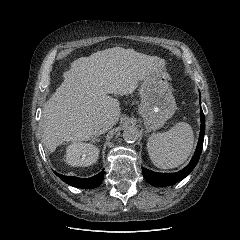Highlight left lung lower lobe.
<instances>
[{"label":"left lung lower lobe","mask_w":240,"mask_h":240,"mask_svg":"<svg viewBox=\"0 0 240 240\" xmlns=\"http://www.w3.org/2000/svg\"><path fill=\"white\" fill-rule=\"evenodd\" d=\"M200 117H201V127H200L199 141L197 144L195 154L191 159L190 163L185 168H183L182 170L176 173H158L148 169H143L142 172H143L144 178L147 180L148 183L157 187L169 186L184 179L194 169V167L199 161V158L203 149V140H204V133H205V117L202 109L200 111Z\"/></svg>","instance_id":"0a47b994"}]
</instances>
